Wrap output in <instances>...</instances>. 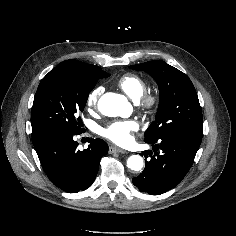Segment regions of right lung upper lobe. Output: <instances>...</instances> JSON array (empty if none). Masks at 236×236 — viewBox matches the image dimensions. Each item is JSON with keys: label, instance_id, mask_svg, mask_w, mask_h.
Instances as JSON below:
<instances>
[{"label": "right lung upper lobe", "instance_id": "cb5924a9", "mask_svg": "<svg viewBox=\"0 0 236 236\" xmlns=\"http://www.w3.org/2000/svg\"><path fill=\"white\" fill-rule=\"evenodd\" d=\"M57 67L68 68L87 80H99L105 73L96 65L86 64L73 59L66 60Z\"/></svg>", "mask_w": 236, "mask_h": 236}]
</instances>
